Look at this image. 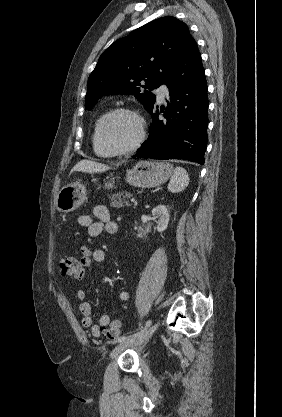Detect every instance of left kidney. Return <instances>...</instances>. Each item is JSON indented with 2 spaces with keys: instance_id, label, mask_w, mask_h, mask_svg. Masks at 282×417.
Wrapping results in <instances>:
<instances>
[{
  "instance_id": "5707ae66",
  "label": "left kidney",
  "mask_w": 282,
  "mask_h": 417,
  "mask_svg": "<svg viewBox=\"0 0 282 417\" xmlns=\"http://www.w3.org/2000/svg\"><path fill=\"white\" fill-rule=\"evenodd\" d=\"M152 215L155 219H158L156 223L158 233L165 231L168 227L170 217L167 206L165 204H158V206H155V209H152Z\"/></svg>"
}]
</instances>
